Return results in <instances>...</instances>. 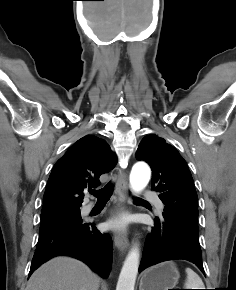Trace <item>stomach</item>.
Segmentation results:
<instances>
[{"label":"stomach","instance_id":"1","mask_svg":"<svg viewBox=\"0 0 236 290\" xmlns=\"http://www.w3.org/2000/svg\"><path fill=\"white\" fill-rule=\"evenodd\" d=\"M179 272L173 262H164L148 269L140 281V290L174 289Z\"/></svg>","mask_w":236,"mask_h":290}]
</instances>
